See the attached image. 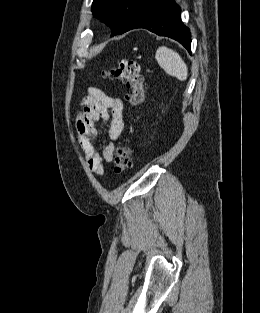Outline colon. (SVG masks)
I'll list each match as a JSON object with an SVG mask.
<instances>
[{
  "instance_id": "5ec220e1",
  "label": "colon",
  "mask_w": 260,
  "mask_h": 313,
  "mask_svg": "<svg viewBox=\"0 0 260 313\" xmlns=\"http://www.w3.org/2000/svg\"><path fill=\"white\" fill-rule=\"evenodd\" d=\"M110 79L123 82L129 89L127 101L132 106L140 105L145 97L144 78L140 72V65L136 61L122 59L115 67L103 73ZM131 165V150L126 145L116 149L113 170L116 175L126 172Z\"/></svg>"
}]
</instances>
